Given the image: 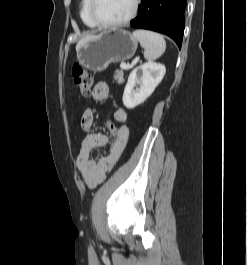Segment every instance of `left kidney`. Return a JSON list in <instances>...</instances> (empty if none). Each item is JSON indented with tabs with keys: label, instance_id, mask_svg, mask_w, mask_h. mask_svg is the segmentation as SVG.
Masks as SVG:
<instances>
[{
	"label": "left kidney",
	"instance_id": "obj_1",
	"mask_svg": "<svg viewBox=\"0 0 247 265\" xmlns=\"http://www.w3.org/2000/svg\"><path fill=\"white\" fill-rule=\"evenodd\" d=\"M165 66L160 63L148 61L136 67L129 75L123 93V104L133 109L143 103L155 90L165 75ZM139 88H136V85Z\"/></svg>",
	"mask_w": 247,
	"mask_h": 265
}]
</instances>
